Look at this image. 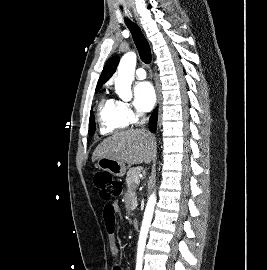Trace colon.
<instances>
[{
	"label": "colon",
	"mask_w": 267,
	"mask_h": 270,
	"mask_svg": "<svg viewBox=\"0 0 267 270\" xmlns=\"http://www.w3.org/2000/svg\"><path fill=\"white\" fill-rule=\"evenodd\" d=\"M94 185L99 191L100 198L104 201L118 196L122 191L120 182L105 172L97 173L94 176Z\"/></svg>",
	"instance_id": "5ec220e1"
}]
</instances>
